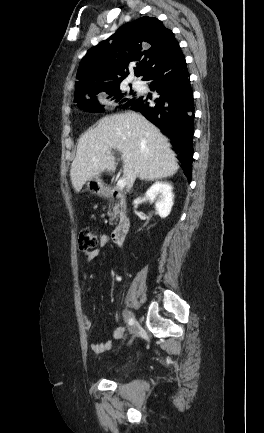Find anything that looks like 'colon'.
I'll use <instances>...</instances> for the list:
<instances>
[{
    "mask_svg": "<svg viewBox=\"0 0 264 433\" xmlns=\"http://www.w3.org/2000/svg\"><path fill=\"white\" fill-rule=\"evenodd\" d=\"M99 236L91 229H83L78 238L79 249L83 252H87L95 248L99 243Z\"/></svg>",
    "mask_w": 264,
    "mask_h": 433,
    "instance_id": "1",
    "label": "colon"
}]
</instances>
